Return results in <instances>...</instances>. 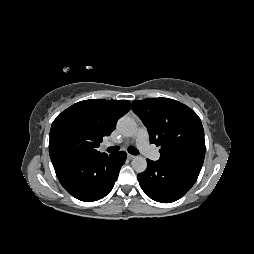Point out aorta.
<instances>
[{
	"mask_svg": "<svg viewBox=\"0 0 254 254\" xmlns=\"http://www.w3.org/2000/svg\"><path fill=\"white\" fill-rule=\"evenodd\" d=\"M117 129L121 132L125 137H131L135 134L137 125L134 119L123 116L117 122ZM132 168L137 173H142L147 168V161L142 156H135L131 162Z\"/></svg>",
	"mask_w": 254,
	"mask_h": 254,
	"instance_id": "1",
	"label": "aorta"
}]
</instances>
